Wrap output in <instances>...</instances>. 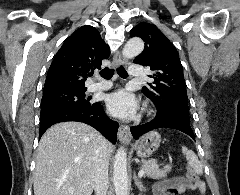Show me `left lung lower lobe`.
<instances>
[{
	"label": "left lung lower lobe",
	"mask_w": 240,
	"mask_h": 195,
	"mask_svg": "<svg viewBox=\"0 0 240 195\" xmlns=\"http://www.w3.org/2000/svg\"><path fill=\"white\" fill-rule=\"evenodd\" d=\"M158 128L180 130L195 140L190 126V119L177 114H158L152 121L144 125L133 126L130 130L134 139H138L141 135Z\"/></svg>",
	"instance_id": "0a47b994"
}]
</instances>
